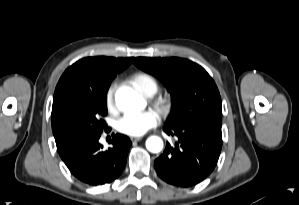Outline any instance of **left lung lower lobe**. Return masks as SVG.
Listing matches in <instances>:
<instances>
[{
  "label": "left lung lower lobe",
  "instance_id": "left-lung-lower-lobe-1",
  "mask_svg": "<svg viewBox=\"0 0 299 205\" xmlns=\"http://www.w3.org/2000/svg\"><path fill=\"white\" fill-rule=\"evenodd\" d=\"M222 118L196 123L166 125L164 131L176 136L174 146L166 145L154 162L157 174L168 184L190 187L204 180L215 168L222 148Z\"/></svg>",
  "mask_w": 299,
  "mask_h": 205
}]
</instances>
